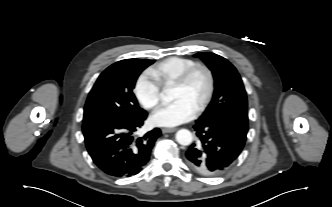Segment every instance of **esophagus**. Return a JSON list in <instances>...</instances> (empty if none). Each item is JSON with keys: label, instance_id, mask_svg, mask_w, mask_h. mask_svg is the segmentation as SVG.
<instances>
[{"label": "esophagus", "instance_id": "34e87169", "mask_svg": "<svg viewBox=\"0 0 332 207\" xmlns=\"http://www.w3.org/2000/svg\"><path fill=\"white\" fill-rule=\"evenodd\" d=\"M176 128H162V133H172L175 132Z\"/></svg>", "mask_w": 332, "mask_h": 207}]
</instances>
